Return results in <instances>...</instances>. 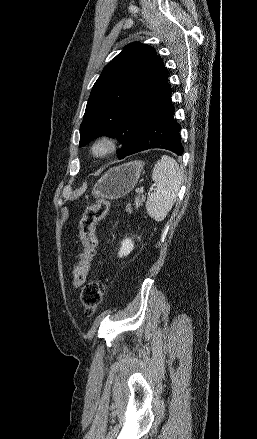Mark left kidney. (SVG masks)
<instances>
[{
  "instance_id": "1",
  "label": "left kidney",
  "mask_w": 257,
  "mask_h": 439,
  "mask_svg": "<svg viewBox=\"0 0 257 439\" xmlns=\"http://www.w3.org/2000/svg\"><path fill=\"white\" fill-rule=\"evenodd\" d=\"M133 248H134L133 241L130 238H125V240L121 242V247L118 252V256L122 258L123 256L129 255L130 252L133 250Z\"/></svg>"
}]
</instances>
